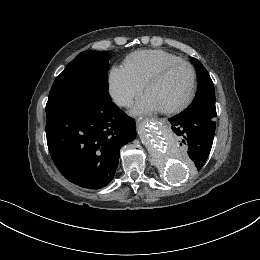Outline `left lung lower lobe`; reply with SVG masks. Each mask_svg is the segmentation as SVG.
<instances>
[{
    "instance_id": "left-lung-lower-lobe-1",
    "label": "left lung lower lobe",
    "mask_w": 260,
    "mask_h": 260,
    "mask_svg": "<svg viewBox=\"0 0 260 260\" xmlns=\"http://www.w3.org/2000/svg\"><path fill=\"white\" fill-rule=\"evenodd\" d=\"M216 110L195 109L182 111L169 118L172 131L179 137L189 163L198 171L204 166L211 151L216 128Z\"/></svg>"
}]
</instances>
